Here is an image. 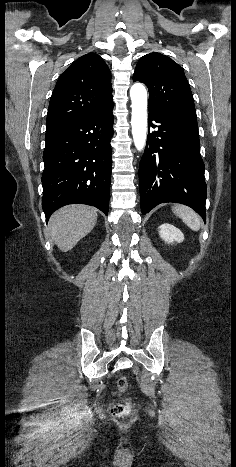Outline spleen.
Masks as SVG:
<instances>
[{"label":"spleen","mask_w":236,"mask_h":467,"mask_svg":"<svg viewBox=\"0 0 236 467\" xmlns=\"http://www.w3.org/2000/svg\"><path fill=\"white\" fill-rule=\"evenodd\" d=\"M173 212L179 216L183 222L192 230L198 231L200 228V219L198 215L186 206H176Z\"/></svg>","instance_id":"1"}]
</instances>
